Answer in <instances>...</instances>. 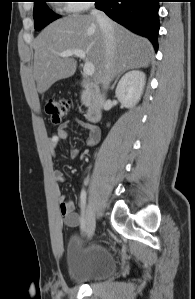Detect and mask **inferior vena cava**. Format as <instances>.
Returning <instances> with one entry per match:
<instances>
[{"label": "inferior vena cava", "mask_w": 195, "mask_h": 299, "mask_svg": "<svg viewBox=\"0 0 195 299\" xmlns=\"http://www.w3.org/2000/svg\"><path fill=\"white\" fill-rule=\"evenodd\" d=\"M90 13L92 16L96 18V21L102 31L103 38H104L105 53L107 59L106 69L108 70V73L106 74L103 80V88L106 90L111 80L109 71L112 66V59L114 58L115 55L116 41L114 35V27L112 21L105 15V13L96 9L94 6H92ZM104 99H105V95L103 94L102 102H104Z\"/></svg>", "instance_id": "1"}]
</instances>
